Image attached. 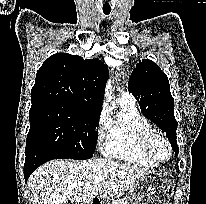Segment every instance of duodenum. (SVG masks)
<instances>
[{"mask_svg": "<svg viewBox=\"0 0 206 204\" xmlns=\"http://www.w3.org/2000/svg\"><path fill=\"white\" fill-rule=\"evenodd\" d=\"M90 204H100V201L98 199H94Z\"/></svg>", "mask_w": 206, "mask_h": 204, "instance_id": "410a0bca", "label": "duodenum"}]
</instances>
